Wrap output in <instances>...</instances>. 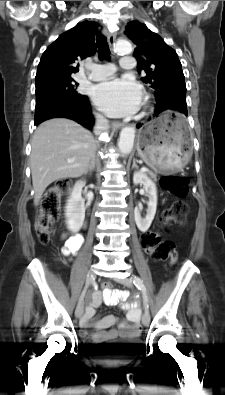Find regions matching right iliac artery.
I'll list each match as a JSON object with an SVG mask.
<instances>
[{
	"label": "right iliac artery",
	"instance_id": "1",
	"mask_svg": "<svg viewBox=\"0 0 225 395\" xmlns=\"http://www.w3.org/2000/svg\"><path fill=\"white\" fill-rule=\"evenodd\" d=\"M85 291H86V289L83 290V292H82V294H81V296H80V301L83 299V297H84V295H85Z\"/></svg>",
	"mask_w": 225,
	"mask_h": 395
}]
</instances>
